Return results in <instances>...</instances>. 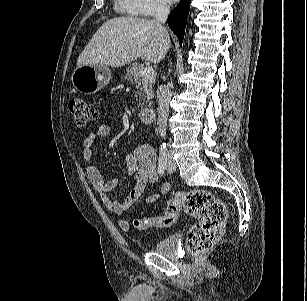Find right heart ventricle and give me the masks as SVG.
I'll return each instance as SVG.
<instances>
[{
  "label": "right heart ventricle",
  "instance_id": "1",
  "mask_svg": "<svg viewBox=\"0 0 307 301\" xmlns=\"http://www.w3.org/2000/svg\"><path fill=\"white\" fill-rule=\"evenodd\" d=\"M121 9L125 10L128 14L137 15L130 6V0H117Z\"/></svg>",
  "mask_w": 307,
  "mask_h": 301
}]
</instances>
